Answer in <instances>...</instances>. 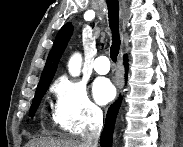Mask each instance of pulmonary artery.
Here are the masks:
<instances>
[{
  "mask_svg": "<svg viewBox=\"0 0 183 147\" xmlns=\"http://www.w3.org/2000/svg\"><path fill=\"white\" fill-rule=\"evenodd\" d=\"M93 68L98 74H107L110 70L109 59L104 55L97 57L94 61Z\"/></svg>",
  "mask_w": 183,
  "mask_h": 147,
  "instance_id": "obj_1",
  "label": "pulmonary artery"
}]
</instances>
